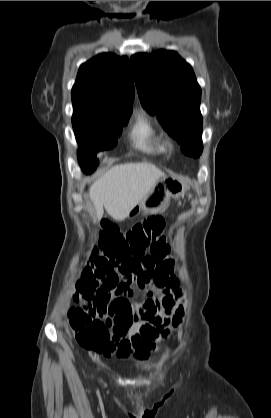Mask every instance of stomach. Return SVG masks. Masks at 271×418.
<instances>
[{
  "mask_svg": "<svg viewBox=\"0 0 271 418\" xmlns=\"http://www.w3.org/2000/svg\"><path fill=\"white\" fill-rule=\"evenodd\" d=\"M188 190L187 182L164 176L160 178L147 195L131 209L127 218H131L144 212L147 214L156 213L167 207L171 199H177Z\"/></svg>",
  "mask_w": 271,
  "mask_h": 418,
  "instance_id": "1",
  "label": "stomach"
}]
</instances>
